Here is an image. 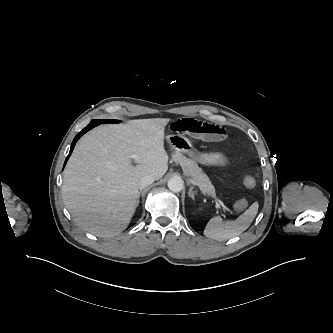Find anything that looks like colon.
<instances>
[{
	"instance_id": "obj_1",
	"label": "colon",
	"mask_w": 333,
	"mask_h": 333,
	"mask_svg": "<svg viewBox=\"0 0 333 333\" xmlns=\"http://www.w3.org/2000/svg\"><path fill=\"white\" fill-rule=\"evenodd\" d=\"M242 183L248 189L254 188L257 184L255 178H253L252 176L243 177ZM247 205L248 203L246 199H239L234 204V210L237 212H242L243 210L246 209Z\"/></svg>"
}]
</instances>
